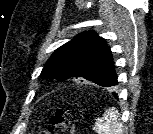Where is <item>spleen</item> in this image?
<instances>
[{
  "label": "spleen",
  "mask_w": 153,
  "mask_h": 134,
  "mask_svg": "<svg viewBox=\"0 0 153 134\" xmlns=\"http://www.w3.org/2000/svg\"><path fill=\"white\" fill-rule=\"evenodd\" d=\"M120 114L115 108L107 109L102 117L94 124L97 134H122L123 125L120 122Z\"/></svg>",
  "instance_id": "obj_1"
}]
</instances>
